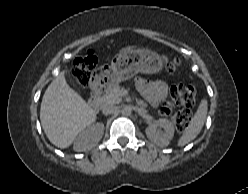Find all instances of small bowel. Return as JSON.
<instances>
[{"label":"small bowel","mask_w":248,"mask_h":194,"mask_svg":"<svg viewBox=\"0 0 248 194\" xmlns=\"http://www.w3.org/2000/svg\"><path fill=\"white\" fill-rule=\"evenodd\" d=\"M136 84L142 95L153 106L161 105L167 97L168 87L162 80L138 79Z\"/></svg>","instance_id":"c3829d8e"}]
</instances>
